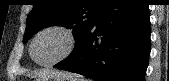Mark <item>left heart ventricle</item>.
Instances as JSON below:
<instances>
[{"mask_svg": "<svg viewBox=\"0 0 169 81\" xmlns=\"http://www.w3.org/2000/svg\"><path fill=\"white\" fill-rule=\"evenodd\" d=\"M66 37L56 31L40 35L34 45V56L40 63H49L58 59L66 50Z\"/></svg>", "mask_w": 169, "mask_h": 81, "instance_id": "obj_1", "label": "left heart ventricle"}]
</instances>
